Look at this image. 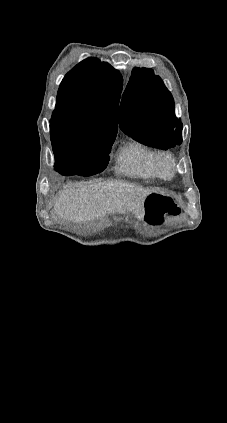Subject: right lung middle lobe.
<instances>
[{"label":"right lung middle lobe","mask_w":227,"mask_h":423,"mask_svg":"<svg viewBox=\"0 0 227 423\" xmlns=\"http://www.w3.org/2000/svg\"><path fill=\"white\" fill-rule=\"evenodd\" d=\"M115 137L68 138L52 141L56 164L68 165L71 175L91 176L103 171Z\"/></svg>","instance_id":"1"}]
</instances>
